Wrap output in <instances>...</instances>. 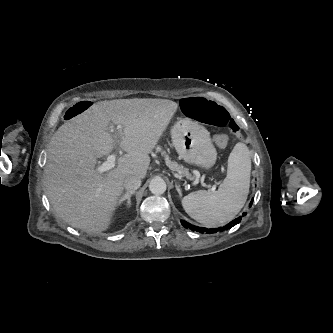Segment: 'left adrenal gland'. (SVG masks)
<instances>
[{
	"label": "left adrenal gland",
	"mask_w": 333,
	"mask_h": 333,
	"mask_svg": "<svg viewBox=\"0 0 333 333\" xmlns=\"http://www.w3.org/2000/svg\"><path fill=\"white\" fill-rule=\"evenodd\" d=\"M176 190L178 191L179 195H181L180 185L176 184Z\"/></svg>",
	"instance_id": "left-adrenal-gland-1"
}]
</instances>
